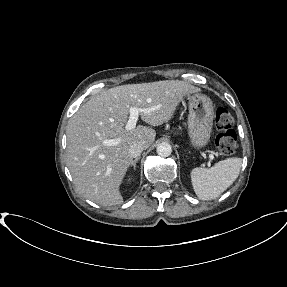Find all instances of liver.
I'll return each mask as SVG.
<instances>
[{
	"label": "liver",
	"mask_w": 287,
	"mask_h": 287,
	"mask_svg": "<svg viewBox=\"0 0 287 287\" xmlns=\"http://www.w3.org/2000/svg\"><path fill=\"white\" fill-rule=\"evenodd\" d=\"M200 89L185 81L165 80L110 88L84 103L70 118L67 128V166L75 187L83 197L101 205L123 203L120 185L132 162L129 148L134 143L151 146L154 129L138 125L127 131L130 107L140 112L151 126L169 121L184 96ZM118 139L114 146L102 144Z\"/></svg>",
	"instance_id": "liver-1"
}]
</instances>
